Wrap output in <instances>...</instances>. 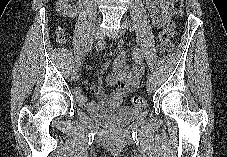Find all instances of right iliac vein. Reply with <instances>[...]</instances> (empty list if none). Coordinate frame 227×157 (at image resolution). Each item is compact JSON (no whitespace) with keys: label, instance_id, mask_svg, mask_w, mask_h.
Here are the masks:
<instances>
[{"label":"right iliac vein","instance_id":"63e3f726","mask_svg":"<svg viewBox=\"0 0 227 157\" xmlns=\"http://www.w3.org/2000/svg\"><path fill=\"white\" fill-rule=\"evenodd\" d=\"M92 35L93 36H99V31L97 29H93V32H92ZM71 77H72V80L74 82H76L79 78V72H78V69L77 70H74L72 71L71 73Z\"/></svg>","mask_w":227,"mask_h":157}]
</instances>
